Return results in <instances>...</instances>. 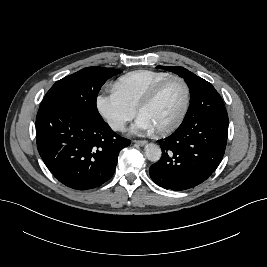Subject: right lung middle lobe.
Wrapping results in <instances>:
<instances>
[{
    "label": "right lung middle lobe",
    "mask_w": 267,
    "mask_h": 267,
    "mask_svg": "<svg viewBox=\"0 0 267 267\" xmlns=\"http://www.w3.org/2000/svg\"><path fill=\"white\" fill-rule=\"evenodd\" d=\"M119 70L87 67L57 81L46 93L44 101L60 104L91 120L102 119L96 106L103 84Z\"/></svg>",
    "instance_id": "1"
}]
</instances>
